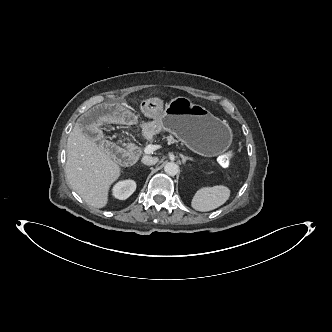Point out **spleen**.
Here are the masks:
<instances>
[{
  "label": "spleen",
  "instance_id": "spleen-1",
  "mask_svg": "<svg viewBox=\"0 0 332 332\" xmlns=\"http://www.w3.org/2000/svg\"><path fill=\"white\" fill-rule=\"evenodd\" d=\"M230 189L223 185L202 187L192 198L191 206L201 212L214 210L227 202Z\"/></svg>",
  "mask_w": 332,
  "mask_h": 332
}]
</instances>
